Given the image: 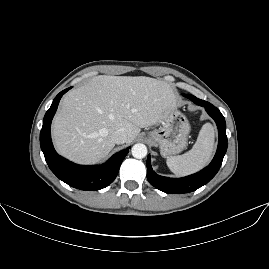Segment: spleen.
<instances>
[{
  "label": "spleen",
  "instance_id": "spleen-1",
  "mask_svg": "<svg viewBox=\"0 0 269 269\" xmlns=\"http://www.w3.org/2000/svg\"><path fill=\"white\" fill-rule=\"evenodd\" d=\"M215 128L205 123L193 148L187 153L167 159V166L178 177L192 174L207 165L214 151Z\"/></svg>",
  "mask_w": 269,
  "mask_h": 269
}]
</instances>
